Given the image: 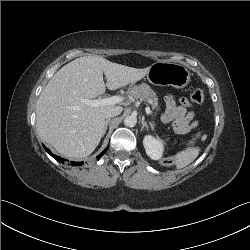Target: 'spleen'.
Instances as JSON below:
<instances>
[{"label":"spleen","instance_id":"obj_1","mask_svg":"<svg viewBox=\"0 0 250 250\" xmlns=\"http://www.w3.org/2000/svg\"><path fill=\"white\" fill-rule=\"evenodd\" d=\"M200 150L199 147H190L178 152L174 157V164L177 169L184 168L192 163L199 155Z\"/></svg>","mask_w":250,"mask_h":250}]
</instances>
